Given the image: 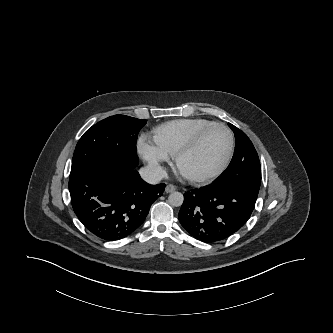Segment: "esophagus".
I'll return each instance as SVG.
<instances>
[{
	"label": "esophagus",
	"instance_id": "esophagus-1",
	"mask_svg": "<svg viewBox=\"0 0 333 333\" xmlns=\"http://www.w3.org/2000/svg\"><path fill=\"white\" fill-rule=\"evenodd\" d=\"M175 190H176V187L174 185H172V184H168L165 187V192L166 193H171V192H173Z\"/></svg>",
	"mask_w": 333,
	"mask_h": 333
}]
</instances>
